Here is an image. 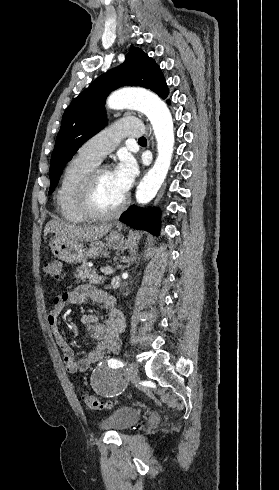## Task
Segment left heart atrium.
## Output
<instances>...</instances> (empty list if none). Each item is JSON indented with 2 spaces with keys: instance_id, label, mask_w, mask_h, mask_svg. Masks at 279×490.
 <instances>
[{
  "instance_id": "left-heart-atrium-1",
  "label": "left heart atrium",
  "mask_w": 279,
  "mask_h": 490,
  "mask_svg": "<svg viewBox=\"0 0 279 490\" xmlns=\"http://www.w3.org/2000/svg\"><path fill=\"white\" fill-rule=\"evenodd\" d=\"M138 173L139 168L136 161L128 156L122 157L116 167L111 171L113 182L121 197L125 198Z\"/></svg>"
}]
</instances>
